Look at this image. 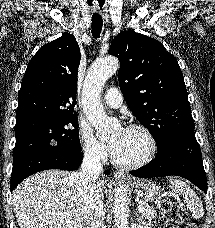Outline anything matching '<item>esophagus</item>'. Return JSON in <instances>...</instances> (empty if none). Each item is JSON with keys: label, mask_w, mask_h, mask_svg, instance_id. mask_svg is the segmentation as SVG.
Masks as SVG:
<instances>
[{"label": "esophagus", "mask_w": 215, "mask_h": 228, "mask_svg": "<svg viewBox=\"0 0 215 228\" xmlns=\"http://www.w3.org/2000/svg\"><path fill=\"white\" fill-rule=\"evenodd\" d=\"M113 175H114L115 178H120L121 176H124L123 173L122 172H119V171L114 172Z\"/></svg>", "instance_id": "esophagus-1"}]
</instances>
